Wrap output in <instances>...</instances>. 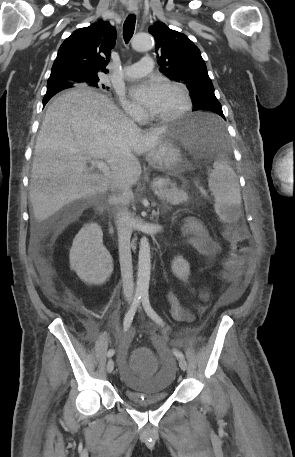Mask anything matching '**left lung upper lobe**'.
<instances>
[{
  "label": "left lung upper lobe",
  "instance_id": "1",
  "mask_svg": "<svg viewBox=\"0 0 295 457\" xmlns=\"http://www.w3.org/2000/svg\"><path fill=\"white\" fill-rule=\"evenodd\" d=\"M156 41L160 71L170 80L187 86L196 110L205 105H221L207 73L199 48L185 35L162 22L149 27Z\"/></svg>",
  "mask_w": 295,
  "mask_h": 457
}]
</instances>
